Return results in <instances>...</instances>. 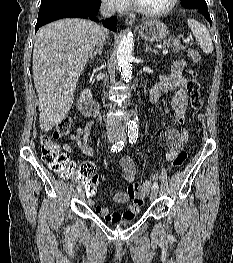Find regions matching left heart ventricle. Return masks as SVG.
<instances>
[{"mask_svg":"<svg viewBox=\"0 0 233 263\" xmlns=\"http://www.w3.org/2000/svg\"><path fill=\"white\" fill-rule=\"evenodd\" d=\"M137 3L148 11H159L166 8L171 0H136Z\"/></svg>","mask_w":233,"mask_h":263,"instance_id":"1","label":"left heart ventricle"}]
</instances>
